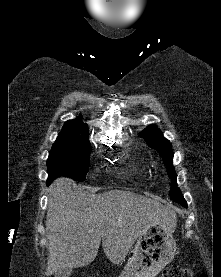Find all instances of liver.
I'll return each instance as SVG.
<instances>
[{
    "instance_id": "liver-1",
    "label": "liver",
    "mask_w": 221,
    "mask_h": 277,
    "mask_svg": "<svg viewBox=\"0 0 221 277\" xmlns=\"http://www.w3.org/2000/svg\"><path fill=\"white\" fill-rule=\"evenodd\" d=\"M48 199L47 276L63 268L89 265L101 240L106 257L119 264L145 228L176 218L168 207L133 192L73 191L71 179L64 177L51 184Z\"/></svg>"
}]
</instances>
